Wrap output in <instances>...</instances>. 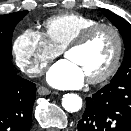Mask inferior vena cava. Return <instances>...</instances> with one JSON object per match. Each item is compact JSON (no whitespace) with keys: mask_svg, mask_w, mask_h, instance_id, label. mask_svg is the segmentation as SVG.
<instances>
[{"mask_svg":"<svg viewBox=\"0 0 131 131\" xmlns=\"http://www.w3.org/2000/svg\"><path fill=\"white\" fill-rule=\"evenodd\" d=\"M41 72V69L39 67H32L26 70V73L31 76L34 73H39Z\"/></svg>","mask_w":131,"mask_h":131,"instance_id":"1","label":"inferior vena cava"}]
</instances>
